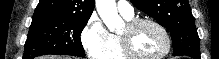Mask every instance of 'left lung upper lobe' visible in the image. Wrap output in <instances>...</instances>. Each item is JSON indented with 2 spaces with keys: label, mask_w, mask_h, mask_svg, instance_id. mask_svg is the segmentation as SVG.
I'll list each match as a JSON object with an SVG mask.
<instances>
[{
  "label": "left lung upper lobe",
  "mask_w": 219,
  "mask_h": 59,
  "mask_svg": "<svg viewBox=\"0 0 219 59\" xmlns=\"http://www.w3.org/2000/svg\"><path fill=\"white\" fill-rule=\"evenodd\" d=\"M139 10L170 29L173 55H199V36L188 0H131Z\"/></svg>",
  "instance_id": "1"
}]
</instances>
